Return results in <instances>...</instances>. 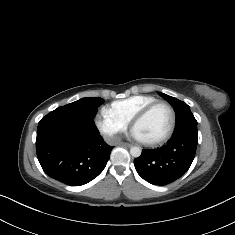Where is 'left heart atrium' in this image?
<instances>
[{
	"label": "left heart atrium",
	"instance_id": "obj_1",
	"mask_svg": "<svg viewBox=\"0 0 235 235\" xmlns=\"http://www.w3.org/2000/svg\"><path fill=\"white\" fill-rule=\"evenodd\" d=\"M132 136L134 139L139 140L138 137L136 136V134L134 133V131H132Z\"/></svg>",
	"mask_w": 235,
	"mask_h": 235
}]
</instances>
